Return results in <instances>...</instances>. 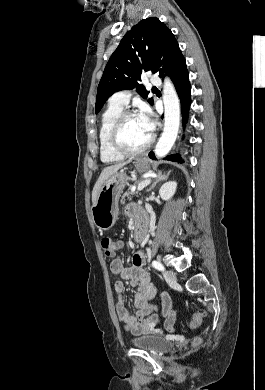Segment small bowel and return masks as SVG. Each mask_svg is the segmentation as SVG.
Listing matches in <instances>:
<instances>
[{
	"label": "small bowel",
	"mask_w": 265,
	"mask_h": 390,
	"mask_svg": "<svg viewBox=\"0 0 265 390\" xmlns=\"http://www.w3.org/2000/svg\"><path fill=\"white\" fill-rule=\"evenodd\" d=\"M126 213L133 219H145V213L141 207L130 204ZM117 251L123 247L121 241L115 242ZM146 254L138 251L134 254L132 265L125 267L121 258H114L110 263V270L113 274L119 275L122 279H127L130 285L137 288L134 303L137 309L136 314L132 315L126 308L123 292L125 284L123 281H116L114 289L118 294L116 303V313L123 326L134 334L141 333H159V324L163 319L164 326L172 330L176 320V311L172 309L171 299L168 294L163 293L162 299V317L154 314L156 307L151 302L155 297L157 290L151 281L149 273L144 269Z\"/></svg>",
	"instance_id": "obj_1"
}]
</instances>
